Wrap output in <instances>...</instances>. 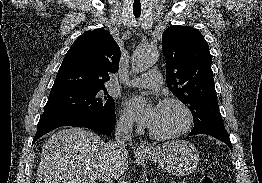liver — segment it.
Instances as JSON below:
<instances>
[{"label":"liver","instance_id":"liver-1","mask_svg":"<svg viewBox=\"0 0 262 183\" xmlns=\"http://www.w3.org/2000/svg\"><path fill=\"white\" fill-rule=\"evenodd\" d=\"M127 169L128 152L118 157L96 133L62 129L42 148L36 183H94L117 179Z\"/></svg>","mask_w":262,"mask_h":183}]
</instances>
